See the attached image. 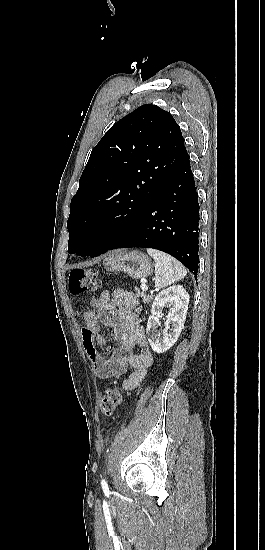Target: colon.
I'll return each mask as SVG.
<instances>
[{"label":"colon","mask_w":265,"mask_h":550,"mask_svg":"<svg viewBox=\"0 0 265 550\" xmlns=\"http://www.w3.org/2000/svg\"><path fill=\"white\" fill-rule=\"evenodd\" d=\"M100 285L101 281L94 269H74L70 273L69 288L72 294L94 292L100 288ZM123 400L122 390L113 386L99 395L98 404L105 416H112Z\"/></svg>","instance_id":"5ec220e1"}]
</instances>
